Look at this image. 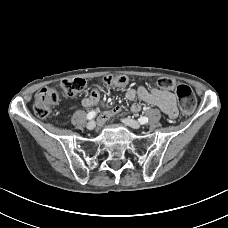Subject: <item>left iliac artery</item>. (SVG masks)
Here are the masks:
<instances>
[{
  "label": "left iliac artery",
  "instance_id": "obj_1",
  "mask_svg": "<svg viewBox=\"0 0 228 228\" xmlns=\"http://www.w3.org/2000/svg\"><path fill=\"white\" fill-rule=\"evenodd\" d=\"M138 120H139V122H140L141 124H146V123H148V118L145 117V116L140 117Z\"/></svg>",
  "mask_w": 228,
  "mask_h": 228
}]
</instances>
